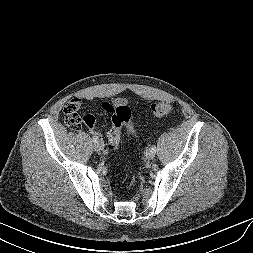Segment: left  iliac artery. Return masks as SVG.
Returning a JSON list of instances; mask_svg holds the SVG:
<instances>
[{
	"mask_svg": "<svg viewBox=\"0 0 253 253\" xmlns=\"http://www.w3.org/2000/svg\"><path fill=\"white\" fill-rule=\"evenodd\" d=\"M150 149H151L152 151L156 152V147H155V146H152Z\"/></svg>",
	"mask_w": 253,
	"mask_h": 253,
	"instance_id": "44dca946",
	"label": "left iliac artery"
}]
</instances>
